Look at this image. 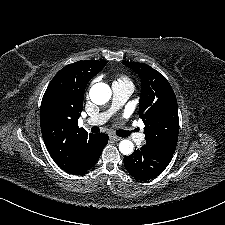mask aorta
I'll return each instance as SVG.
<instances>
[{
    "label": "aorta",
    "instance_id": "obj_1",
    "mask_svg": "<svg viewBox=\"0 0 225 225\" xmlns=\"http://www.w3.org/2000/svg\"><path fill=\"white\" fill-rule=\"evenodd\" d=\"M111 95V88L105 83H96L89 91L91 101L97 105H103L107 103L110 100ZM119 150L123 155H130L134 150V144L130 140H122L119 143Z\"/></svg>",
    "mask_w": 225,
    "mask_h": 225
}]
</instances>
